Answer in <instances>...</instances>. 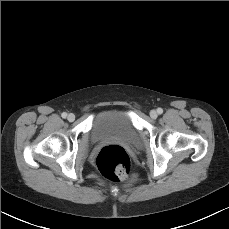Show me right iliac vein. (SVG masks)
I'll list each match as a JSON object with an SVG mask.
<instances>
[{"label": "right iliac vein", "mask_w": 229, "mask_h": 229, "mask_svg": "<svg viewBox=\"0 0 229 229\" xmlns=\"http://www.w3.org/2000/svg\"><path fill=\"white\" fill-rule=\"evenodd\" d=\"M67 119L72 122L75 120V115L73 113H70L68 116H67Z\"/></svg>", "instance_id": "1"}]
</instances>
